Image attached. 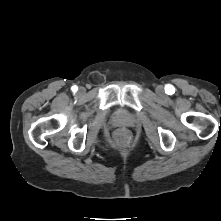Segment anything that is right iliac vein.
Here are the masks:
<instances>
[{"instance_id":"obj_1","label":"right iliac vein","mask_w":221,"mask_h":221,"mask_svg":"<svg viewBox=\"0 0 221 221\" xmlns=\"http://www.w3.org/2000/svg\"><path fill=\"white\" fill-rule=\"evenodd\" d=\"M79 92H80V93H83V92H84V89H83V88H80Z\"/></svg>"}]
</instances>
